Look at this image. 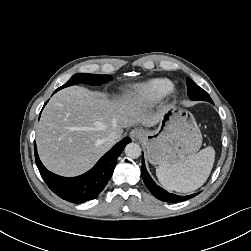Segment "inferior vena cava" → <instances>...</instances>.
I'll return each instance as SVG.
<instances>
[{"instance_id": "1", "label": "inferior vena cava", "mask_w": 251, "mask_h": 251, "mask_svg": "<svg viewBox=\"0 0 251 251\" xmlns=\"http://www.w3.org/2000/svg\"><path fill=\"white\" fill-rule=\"evenodd\" d=\"M119 134L117 132H112L107 137V141L111 144H114L119 139Z\"/></svg>"}]
</instances>
